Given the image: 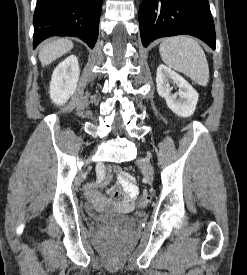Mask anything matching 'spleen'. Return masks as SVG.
<instances>
[{"label":"spleen","instance_id":"3e777b00","mask_svg":"<svg viewBox=\"0 0 247 275\" xmlns=\"http://www.w3.org/2000/svg\"><path fill=\"white\" fill-rule=\"evenodd\" d=\"M163 62L176 71L190 77L195 83L206 86L209 67L200 44L188 36L168 37L159 46Z\"/></svg>","mask_w":247,"mask_h":275}]
</instances>
